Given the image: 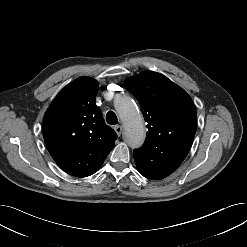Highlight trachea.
Wrapping results in <instances>:
<instances>
[{
  "label": "trachea",
  "mask_w": 247,
  "mask_h": 247,
  "mask_svg": "<svg viewBox=\"0 0 247 247\" xmlns=\"http://www.w3.org/2000/svg\"><path fill=\"white\" fill-rule=\"evenodd\" d=\"M106 121L108 124L115 125L118 124V119L113 111H108L106 115Z\"/></svg>",
  "instance_id": "trachea-1"
}]
</instances>
